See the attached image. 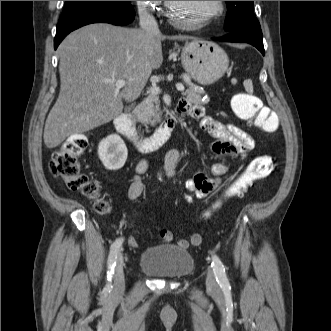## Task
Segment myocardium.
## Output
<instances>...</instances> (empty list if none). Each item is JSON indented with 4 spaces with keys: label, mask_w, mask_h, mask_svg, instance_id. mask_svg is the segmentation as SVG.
I'll return each mask as SVG.
<instances>
[{
    "label": "myocardium",
    "mask_w": 331,
    "mask_h": 331,
    "mask_svg": "<svg viewBox=\"0 0 331 331\" xmlns=\"http://www.w3.org/2000/svg\"><path fill=\"white\" fill-rule=\"evenodd\" d=\"M172 10H173V2L166 1L165 14H166V17L168 18V20L170 21V23H172L173 25L178 26V27H195L196 28V27H200L202 25H205V24L219 18L224 12V1H216V9L214 12H212L211 14L202 18L200 21L195 22L193 24H187V23L177 20L173 16Z\"/></svg>",
    "instance_id": "f54148a6"
}]
</instances>
